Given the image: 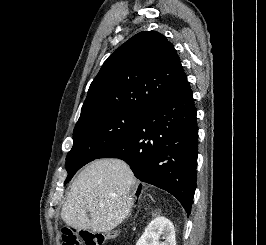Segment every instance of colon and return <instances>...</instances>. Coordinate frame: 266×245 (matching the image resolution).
<instances>
[{"mask_svg": "<svg viewBox=\"0 0 266 245\" xmlns=\"http://www.w3.org/2000/svg\"><path fill=\"white\" fill-rule=\"evenodd\" d=\"M106 239L107 237L100 232L77 231L65 227L60 234V245H103Z\"/></svg>", "mask_w": 266, "mask_h": 245, "instance_id": "colon-1", "label": "colon"}]
</instances>
